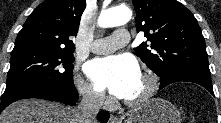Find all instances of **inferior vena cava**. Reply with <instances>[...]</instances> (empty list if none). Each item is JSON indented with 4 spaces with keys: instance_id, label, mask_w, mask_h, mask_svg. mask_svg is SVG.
Wrapping results in <instances>:
<instances>
[{
    "instance_id": "obj_1",
    "label": "inferior vena cava",
    "mask_w": 221,
    "mask_h": 123,
    "mask_svg": "<svg viewBox=\"0 0 221 123\" xmlns=\"http://www.w3.org/2000/svg\"><path fill=\"white\" fill-rule=\"evenodd\" d=\"M81 94L83 98L76 109L78 123H96V116L103 104L104 96L89 87L82 88Z\"/></svg>"
}]
</instances>
